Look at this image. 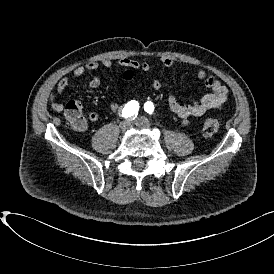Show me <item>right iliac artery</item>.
Here are the masks:
<instances>
[{
    "label": "right iliac artery",
    "mask_w": 274,
    "mask_h": 274,
    "mask_svg": "<svg viewBox=\"0 0 274 274\" xmlns=\"http://www.w3.org/2000/svg\"><path fill=\"white\" fill-rule=\"evenodd\" d=\"M139 103L137 101H130L126 104L124 109L122 110V116L124 118L135 119L138 114Z\"/></svg>",
    "instance_id": "right-iliac-artery-1"
}]
</instances>
